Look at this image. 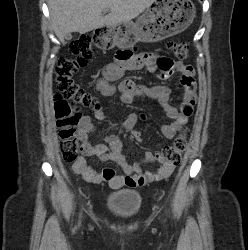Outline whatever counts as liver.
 Listing matches in <instances>:
<instances>
[{
  "label": "liver",
  "mask_w": 248,
  "mask_h": 250,
  "mask_svg": "<svg viewBox=\"0 0 248 250\" xmlns=\"http://www.w3.org/2000/svg\"><path fill=\"white\" fill-rule=\"evenodd\" d=\"M156 0H48L51 22L63 43L67 34L87 33L93 29L131 21ZM104 10H110L106 16Z\"/></svg>",
  "instance_id": "obj_1"
}]
</instances>
